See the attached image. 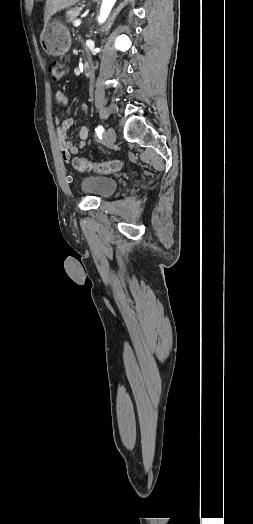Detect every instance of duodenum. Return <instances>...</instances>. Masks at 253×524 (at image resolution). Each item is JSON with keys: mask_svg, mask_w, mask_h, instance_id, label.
<instances>
[{"mask_svg": "<svg viewBox=\"0 0 253 524\" xmlns=\"http://www.w3.org/2000/svg\"><path fill=\"white\" fill-rule=\"evenodd\" d=\"M83 68H84L85 74L89 76L92 71L91 64L89 62H85Z\"/></svg>", "mask_w": 253, "mask_h": 524, "instance_id": "410a0bca", "label": "duodenum"}]
</instances>
